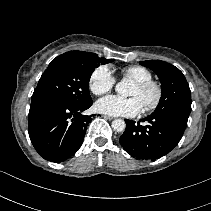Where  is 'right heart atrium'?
<instances>
[{"label": "right heart atrium", "mask_w": 211, "mask_h": 211, "mask_svg": "<svg viewBox=\"0 0 211 211\" xmlns=\"http://www.w3.org/2000/svg\"><path fill=\"white\" fill-rule=\"evenodd\" d=\"M88 85L94 95L100 96L113 89L115 78L108 66L100 65L90 74Z\"/></svg>", "instance_id": "right-heart-atrium-1"}]
</instances>
